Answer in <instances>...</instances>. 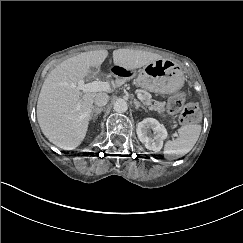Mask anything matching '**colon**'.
Segmentation results:
<instances>
[{
  "label": "colon",
  "instance_id": "5ec220e1",
  "mask_svg": "<svg viewBox=\"0 0 243 243\" xmlns=\"http://www.w3.org/2000/svg\"><path fill=\"white\" fill-rule=\"evenodd\" d=\"M186 95L179 92L173 95L167 103V111L171 115H178L181 123H196L201 118L199 106L196 103H185Z\"/></svg>",
  "mask_w": 243,
  "mask_h": 243
}]
</instances>
